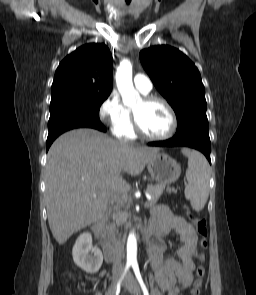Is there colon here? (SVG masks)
Listing matches in <instances>:
<instances>
[{"instance_id":"obj_1","label":"colon","mask_w":256,"mask_h":295,"mask_svg":"<svg viewBox=\"0 0 256 295\" xmlns=\"http://www.w3.org/2000/svg\"><path fill=\"white\" fill-rule=\"evenodd\" d=\"M186 216L188 220L195 225L196 233L199 237V242H198L199 252L197 254L198 265L196 266V269H195L196 278H195L193 287L191 289V295H200L202 280L205 274V269L203 266V261H204L203 250L207 246V242H206L207 226H206L205 219L202 217L194 216L189 211H186Z\"/></svg>"}]
</instances>
